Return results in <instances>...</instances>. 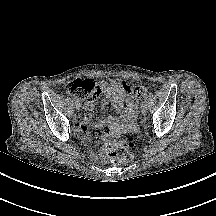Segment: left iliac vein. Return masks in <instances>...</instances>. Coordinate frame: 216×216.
Listing matches in <instances>:
<instances>
[{
    "label": "left iliac vein",
    "instance_id": "4c4485c4",
    "mask_svg": "<svg viewBox=\"0 0 216 216\" xmlns=\"http://www.w3.org/2000/svg\"><path fill=\"white\" fill-rule=\"evenodd\" d=\"M147 108H148V102L147 101L142 102L141 103V109H142V111L143 112L146 111Z\"/></svg>",
    "mask_w": 216,
    "mask_h": 216
}]
</instances>
